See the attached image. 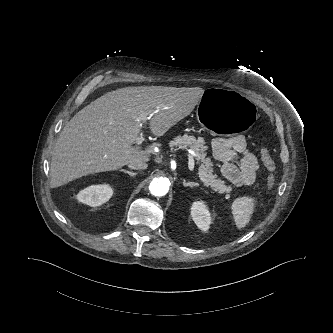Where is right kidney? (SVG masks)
<instances>
[{
    "mask_svg": "<svg viewBox=\"0 0 333 333\" xmlns=\"http://www.w3.org/2000/svg\"><path fill=\"white\" fill-rule=\"evenodd\" d=\"M113 195V189L106 184L91 185L80 191L77 195L79 202L96 207L107 202Z\"/></svg>",
    "mask_w": 333,
    "mask_h": 333,
    "instance_id": "right-kidney-1",
    "label": "right kidney"
}]
</instances>
